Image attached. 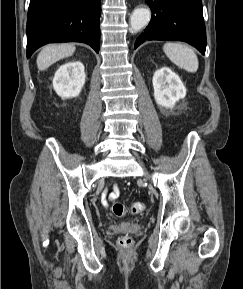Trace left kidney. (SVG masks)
I'll return each instance as SVG.
<instances>
[{
	"label": "left kidney",
	"instance_id": "5707ae66",
	"mask_svg": "<svg viewBox=\"0 0 243 289\" xmlns=\"http://www.w3.org/2000/svg\"><path fill=\"white\" fill-rule=\"evenodd\" d=\"M152 82L154 99L159 106L172 108L186 96V88L179 76L168 67L155 71Z\"/></svg>",
	"mask_w": 243,
	"mask_h": 289
}]
</instances>
